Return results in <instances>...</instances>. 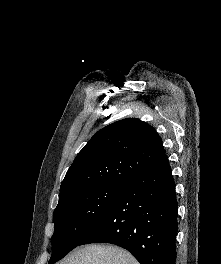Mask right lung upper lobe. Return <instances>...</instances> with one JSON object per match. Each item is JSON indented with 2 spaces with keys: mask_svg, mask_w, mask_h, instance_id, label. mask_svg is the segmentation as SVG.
<instances>
[{
  "mask_svg": "<svg viewBox=\"0 0 221 264\" xmlns=\"http://www.w3.org/2000/svg\"><path fill=\"white\" fill-rule=\"evenodd\" d=\"M168 164L162 140L149 124L128 118L98 131L78 153L60 187L59 202L103 183H127Z\"/></svg>",
  "mask_w": 221,
  "mask_h": 264,
  "instance_id": "cb5924a9",
  "label": "right lung upper lobe"
}]
</instances>
